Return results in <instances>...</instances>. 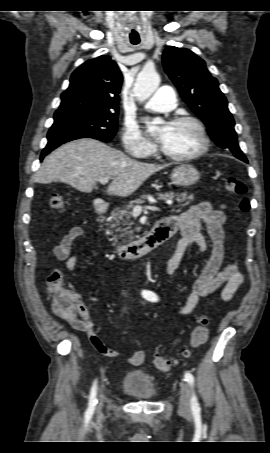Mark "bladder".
<instances>
[{
	"mask_svg": "<svg viewBox=\"0 0 270 453\" xmlns=\"http://www.w3.org/2000/svg\"><path fill=\"white\" fill-rule=\"evenodd\" d=\"M121 389L139 401H151L156 396L152 378L142 370H133L125 374Z\"/></svg>",
	"mask_w": 270,
	"mask_h": 453,
	"instance_id": "31cf9c89",
	"label": "bladder"
}]
</instances>
